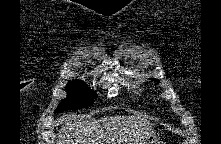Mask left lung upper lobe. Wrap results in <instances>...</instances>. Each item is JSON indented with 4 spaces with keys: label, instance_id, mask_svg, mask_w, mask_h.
<instances>
[{
    "label": "left lung upper lobe",
    "instance_id": "obj_1",
    "mask_svg": "<svg viewBox=\"0 0 221 144\" xmlns=\"http://www.w3.org/2000/svg\"><path fill=\"white\" fill-rule=\"evenodd\" d=\"M152 80H154V81H158V82H159V80H157V79H152Z\"/></svg>",
    "mask_w": 221,
    "mask_h": 144
}]
</instances>
